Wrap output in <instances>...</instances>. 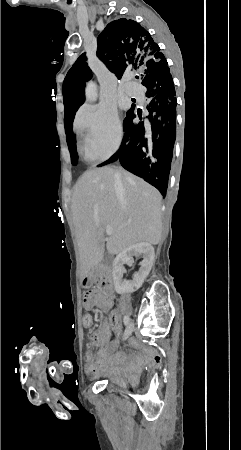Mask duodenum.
Segmentation results:
<instances>
[{
  "instance_id": "410a0bca",
  "label": "duodenum",
  "mask_w": 241,
  "mask_h": 450,
  "mask_svg": "<svg viewBox=\"0 0 241 450\" xmlns=\"http://www.w3.org/2000/svg\"><path fill=\"white\" fill-rule=\"evenodd\" d=\"M86 285L100 284L109 287L111 283V272L109 270L90 271L84 279Z\"/></svg>"
}]
</instances>
